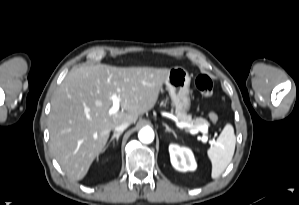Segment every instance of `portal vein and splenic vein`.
<instances>
[{
	"mask_svg": "<svg viewBox=\"0 0 299 205\" xmlns=\"http://www.w3.org/2000/svg\"><path fill=\"white\" fill-rule=\"evenodd\" d=\"M111 100H112V107L109 109V114L113 115V114H116L119 111L121 99L116 94H112L111 95ZM177 126L181 129H183V128H193L194 130H192V133H195L196 130H199V131L204 132V133L207 131L206 128L203 127V126H199V127L194 128L193 125L185 123V122H179V123H177ZM202 140L203 141L207 140V137L206 136L202 137Z\"/></svg>",
	"mask_w": 299,
	"mask_h": 205,
	"instance_id": "obj_1",
	"label": "portal vein and splenic vein"
}]
</instances>
